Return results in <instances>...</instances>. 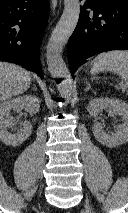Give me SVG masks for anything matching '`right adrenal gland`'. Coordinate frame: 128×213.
<instances>
[{
  "label": "right adrenal gland",
  "mask_w": 128,
  "mask_h": 213,
  "mask_svg": "<svg viewBox=\"0 0 128 213\" xmlns=\"http://www.w3.org/2000/svg\"><path fill=\"white\" fill-rule=\"evenodd\" d=\"M33 89H35V90H37V88L34 86V88Z\"/></svg>",
  "instance_id": "2a0ac1e0"
}]
</instances>
